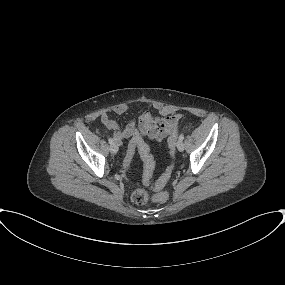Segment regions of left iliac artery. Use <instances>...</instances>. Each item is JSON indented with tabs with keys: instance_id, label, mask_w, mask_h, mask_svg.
Masks as SVG:
<instances>
[{
	"instance_id": "1",
	"label": "left iliac artery",
	"mask_w": 285,
	"mask_h": 285,
	"mask_svg": "<svg viewBox=\"0 0 285 285\" xmlns=\"http://www.w3.org/2000/svg\"><path fill=\"white\" fill-rule=\"evenodd\" d=\"M179 140H181V141L184 140V135H183V134H181V135L179 136Z\"/></svg>"
}]
</instances>
